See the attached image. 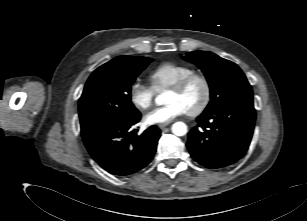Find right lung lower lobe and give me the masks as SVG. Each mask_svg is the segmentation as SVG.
Here are the masks:
<instances>
[{"label": "right lung lower lobe", "mask_w": 307, "mask_h": 221, "mask_svg": "<svg viewBox=\"0 0 307 221\" xmlns=\"http://www.w3.org/2000/svg\"><path fill=\"white\" fill-rule=\"evenodd\" d=\"M140 119L141 114L125 122L106 124L83 137L92 158L112 175H132L152 160L160 130L151 126L138 136L133 126Z\"/></svg>", "instance_id": "right-lung-lower-lobe-1"}]
</instances>
